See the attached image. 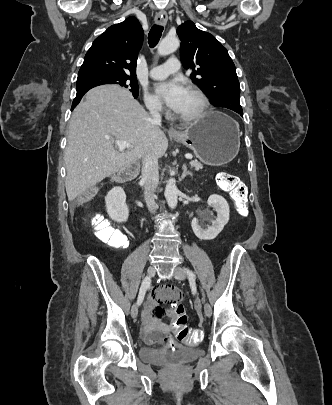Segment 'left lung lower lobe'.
Returning a JSON list of instances; mask_svg holds the SVG:
<instances>
[{
	"mask_svg": "<svg viewBox=\"0 0 332 405\" xmlns=\"http://www.w3.org/2000/svg\"><path fill=\"white\" fill-rule=\"evenodd\" d=\"M233 111H234V110H233ZM235 112H237V113H239L240 115H242V114H243L242 107H240L239 109L235 110Z\"/></svg>",
	"mask_w": 332,
	"mask_h": 405,
	"instance_id": "0a47b994",
	"label": "left lung lower lobe"
}]
</instances>
